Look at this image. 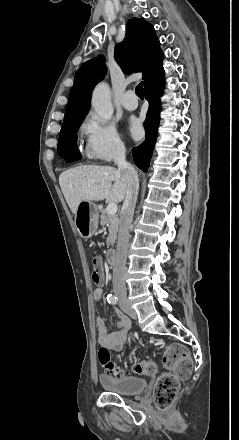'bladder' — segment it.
<instances>
[{"label":"bladder","instance_id":"obj_1","mask_svg":"<svg viewBox=\"0 0 239 440\" xmlns=\"http://www.w3.org/2000/svg\"><path fill=\"white\" fill-rule=\"evenodd\" d=\"M101 386L108 392L119 395H135L143 392L147 387L144 378L134 376H113L106 373L99 375Z\"/></svg>","mask_w":239,"mask_h":440}]
</instances>
